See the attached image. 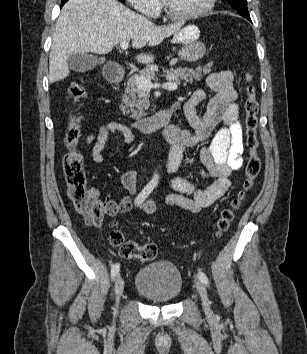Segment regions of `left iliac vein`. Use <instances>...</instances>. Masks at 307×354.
Wrapping results in <instances>:
<instances>
[{
    "instance_id": "1",
    "label": "left iliac vein",
    "mask_w": 307,
    "mask_h": 354,
    "mask_svg": "<svg viewBox=\"0 0 307 354\" xmlns=\"http://www.w3.org/2000/svg\"><path fill=\"white\" fill-rule=\"evenodd\" d=\"M194 284H195L197 292L199 293V295L201 297L204 311L207 314H210L211 313L210 301H209L208 294H207L204 284L200 280H195Z\"/></svg>"
}]
</instances>
